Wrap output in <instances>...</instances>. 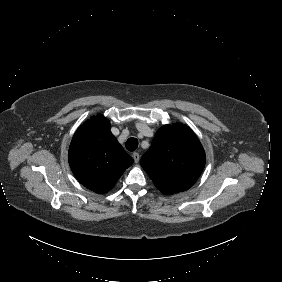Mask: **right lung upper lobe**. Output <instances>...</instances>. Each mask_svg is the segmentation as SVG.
Wrapping results in <instances>:
<instances>
[{"label":"right lung upper lobe","instance_id":"right-lung-upper-lobe-1","mask_svg":"<svg viewBox=\"0 0 282 282\" xmlns=\"http://www.w3.org/2000/svg\"><path fill=\"white\" fill-rule=\"evenodd\" d=\"M102 115L82 124L74 134L68 153L69 165L86 188L103 194L111 190L133 159L110 131Z\"/></svg>","mask_w":282,"mask_h":282}]
</instances>
